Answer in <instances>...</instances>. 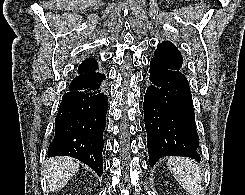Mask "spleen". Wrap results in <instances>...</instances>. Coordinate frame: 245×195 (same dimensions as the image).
<instances>
[{
    "instance_id": "spleen-1",
    "label": "spleen",
    "mask_w": 245,
    "mask_h": 195,
    "mask_svg": "<svg viewBox=\"0 0 245 195\" xmlns=\"http://www.w3.org/2000/svg\"><path fill=\"white\" fill-rule=\"evenodd\" d=\"M167 166L186 192L191 195H200L203 174L198 164L189 158L171 157Z\"/></svg>"
}]
</instances>
